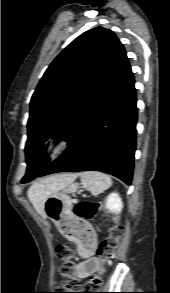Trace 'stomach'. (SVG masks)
<instances>
[{
	"label": "stomach",
	"instance_id": "0dacf381",
	"mask_svg": "<svg viewBox=\"0 0 170 293\" xmlns=\"http://www.w3.org/2000/svg\"><path fill=\"white\" fill-rule=\"evenodd\" d=\"M79 189L80 185L74 181H71L56 190L46 199L44 203V212L58 228L63 229V231L67 233L68 238H74L79 244H81L79 237L71 235V233L66 230L68 223H70L74 218L72 212L73 200L70 197V194L75 195L79 192Z\"/></svg>",
	"mask_w": 170,
	"mask_h": 293
}]
</instances>
